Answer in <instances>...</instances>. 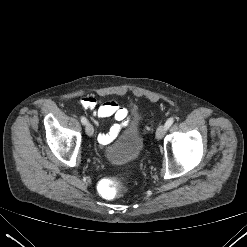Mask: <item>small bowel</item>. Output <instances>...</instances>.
Listing matches in <instances>:
<instances>
[{
	"label": "small bowel",
	"mask_w": 247,
	"mask_h": 247,
	"mask_svg": "<svg viewBox=\"0 0 247 247\" xmlns=\"http://www.w3.org/2000/svg\"><path fill=\"white\" fill-rule=\"evenodd\" d=\"M80 104L85 110L93 112L96 123L97 119L104 118H113L117 121L107 133H100L98 135V142L102 146L112 142L117 137L121 127L128 123V110L120 106L116 101L101 102L93 96H86L81 99Z\"/></svg>",
	"instance_id": "small-bowel-1"
}]
</instances>
